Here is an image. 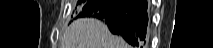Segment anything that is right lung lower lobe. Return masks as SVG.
<instances>
[{
	"instance_id": "98d812e1",
	"label": "right lung lower lobe",
	"mask_w": 213,
	"mask_h": 48,
	"mask_svg": "<svg viewBox=\"0 0 213 48\" xmlns=\"http://www.w3.org/2000/svg\"><path fill=\"white\" fill-rule=\"evenodd\" d=\"M79 17L102 20L113 34L122 36L132 46L142 47L145 44L146 0H89Z\"/></svg>"
}]
</instances>
